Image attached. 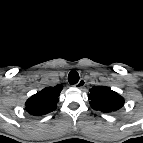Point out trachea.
<instances>
[{"label":"trachea","instance_id":"3493384b","mask_svg":"<svg viewBox=\"0 0 143 143\" xmlns=\"http://www.w3.org/2000/svg\"><path fill=\"white\" fill-rule=\"evenodd\" d=\"M68 81L71 85L78 83L79 81V74L76 70H71L68 75Z\"/></svg>","mask_w":143,"mask_h":143}]
</instances>
